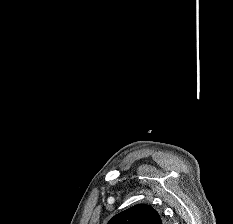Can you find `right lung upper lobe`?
<instances>
[{
	"instance_id": "obj_1",
	"label": "right lung upper lobe",
	"mask_w": 233,
	"mask_h": 224,
	"mask_svg": "<svg viewBox=\"0 0 233 224\" xmlns=\"http://www.w3.org/2000/svg\"><path fill=\"white\" fill-rule=\"evenodd\" d=\"M108 224H163V222L154 208L138 204L118 213Z\"/></svg>"
}]
</instances>
